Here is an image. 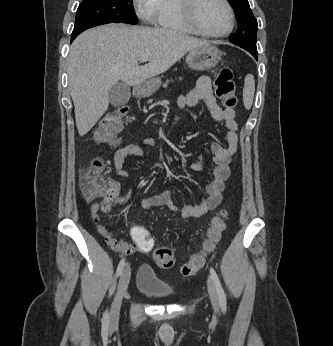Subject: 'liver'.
I'll return each mask as SVG.
<instances>
[{"instance_id":"1","label":"liver","mask_w":333,"mask_h":346,"mask_svg":"<svg viewBox=\"0 0 333 346\" xmlns=\"http://www.w3.org/2000/svg\"><path fill=\"white\" fill-rule=\"evenodd\" d=\"M208 44L171 29L125 24L80 34L67 58L79 135L87 134L107 111L108 92L118 81L136 87L167 71L187 52ZM142 57H148V63L140 66Z\"/></svg>"}]
</instances>
